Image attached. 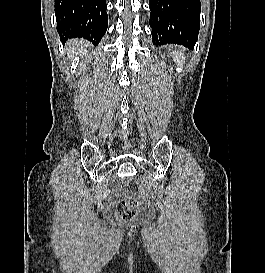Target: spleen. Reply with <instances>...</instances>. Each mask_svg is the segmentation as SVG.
I'll list each match as a JSON object with an SVG mask.
<instances>
[{"label": "spleen", "instance_id": "spleen-1", "mask_svg": "<svg viewBox=\"0 0 265 273\" xmlns=\"http://www.w3.org/2000/svg\"><path fill=\"white\" fill-rule=\"evenodd\" d=\"M173 59L178 66H182L185 61V57L181 51H175L173 53Z\"/></svg>", "mask_w": 265, "mask_h": 273}]
</instances>
